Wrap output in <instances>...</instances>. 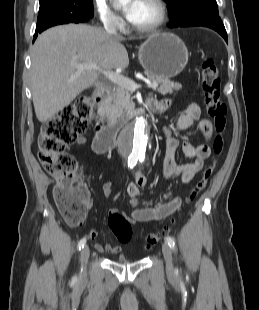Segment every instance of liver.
<instances>
[{
	"label": "liver",
	"mask_w": 259,
	"mask_h": 310,
	"mask_svg": "<svg viewBox=\"0 0 259 310\" xmlns=\"http://www.w3.org/2000/svg\"><path fill=\"white\" fill-rule=\"evenodd\" d=\"M122 40L82 24L52 27L39 35L31 50L30 71L37 119H51L98 81V70H78L75 64L93 62L107 71L127 68L129 58Z\"/></svg>",
	"instance_id": "obj_1"
}]
</instances>
